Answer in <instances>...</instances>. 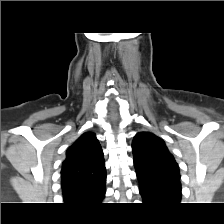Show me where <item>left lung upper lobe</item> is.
<instances>
[{"instance_id": "1", "label": "left lung upper lobe", "mask_w": 224, "mask_h": 224, "mask_svg": "<svg viewBox=\"0 0 224 224\" xmlns=\"http://www.w3.org/2000/svg\"><path fill=\"white\" fill-rule=\"evenodd\" d=\"M136 172L153 178L180 180L179 167L162 139L139 132L132 143Z\"/></svg>"}]
</instances>
